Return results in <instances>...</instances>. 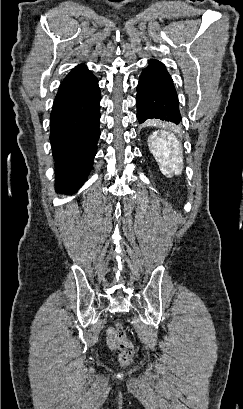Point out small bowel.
Returning a JSON list of instances; mask_svg holds the SVG:
<instances>
[{"label": "small bowel", "instance_id": "1", "mask_svg": "<svg viewBox=\"0 0 243 409\" xmlns=\"http://www.w3.org/2000/svg\"><path fill=\"white\" fill-rule=\"evenodd\" d=\"M105 339H106V344L110 349L116 350L118 348V345L115 339V335H114V328L110 327L107 329Z\"/></svg>", "mask_w": 243, "mask_h": 409}]
</instances>
